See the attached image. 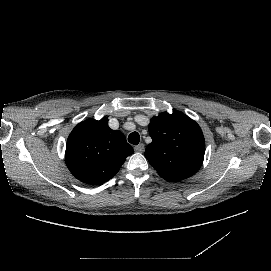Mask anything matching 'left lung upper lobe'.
<instances>
[{
	"label": "left lung upper lobe",
	"mask_w": 271,
	"mask_h": 271,
	"mask_svg": "<svg viewBox=\"0 0 271 271\" xmlns=\"http://www.w3.org/2000/svg\"><path fill=\"white\" fill-rule=\"evenodd\" d=\"M152 142L145 157L158 174L171 182L194 175L201 167L205 140L199 125L182 112L159 114L148 126Z\"/></svg>",
	"instance_id": "left-lung-upper-lobe-1"
}]
</instances>
